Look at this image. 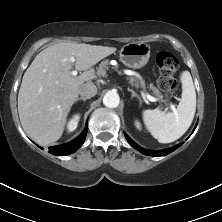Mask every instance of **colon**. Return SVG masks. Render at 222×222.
Here are the masks:
<instances>
[{
  "label": "colon",
  "mask_w": 222,
  "mask_h": 222,
  "mask_svg": "<svg viewBox=\"0 0 222 222\" xmlns=\"http://www.w3.org/2000/svg\"><path fill=\"white\" fill-rule=\"evenodd\" d=\"M155 61L158 68L159 89L166 95L174 93L177 88L174 75L179 68V61L169 52H159Z\"/></svg>",
  "instance_id": "obj_1"
}]
</instances>
